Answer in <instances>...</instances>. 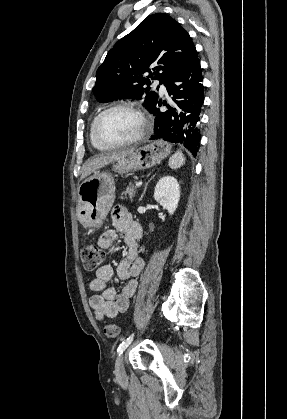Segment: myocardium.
Returning <instances> with one entry per match:
<instances>
[{
    "instance_id": "myocardium-1",
    "label": "myocardium",
    "mask_w": 287,
    "mask_h": 419,
    "mask_svg": "<svg viewBox=\"0 0 287 419\" xmlns=\"http://www.w3.org/2000/svg\"><path fill=\"white\" fill-rule=\"evenodd\" d=\"M116 109H127V110H130V111L136 113L138 115V117L140 118L141 127H140L138 133L134 137H132L128 140L121 141V142H108V141L104 140L103 138H101V136L99 134V125H100V122L102 121V119L104 118V116L107 113H109L113 110H116ZM148 125H149L148 124V119L140 108H138L136 105H134L131 102L120 101V102H117V103H114V104L108 106L107 108L102 110L96 116V119H95L94 125H93V135H94L96 141L100 145H102L106 148H109V149L110 148H119V147H124V146H129V145L135 144V143L139 142L140 140H142L147 133Z\"/></svg>"
}]
</instances>
